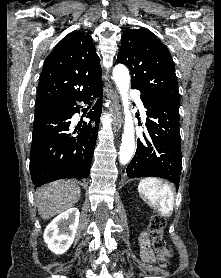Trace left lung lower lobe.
<instances>
[{
    "label": "left lung lower lobe",
    "mask_w": 221,
    "mask_h": 278,
    "mask_svg": "<svg viewBox=\"0 0 221 278\" xmlns=\"http://www.w3.org/2000/svg\"><path fill=\"white\" fill-rule=\"evenodd\" d=\"M141 100L147 109V133H143L142 141L138 139L136 153L126 169L127 176L161 177L179 188L182 168L179 106L145 92H141Z\"/></svg>",
    "instance_id": "0a47b994"
}]
</instances>
